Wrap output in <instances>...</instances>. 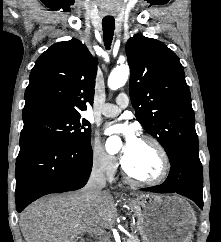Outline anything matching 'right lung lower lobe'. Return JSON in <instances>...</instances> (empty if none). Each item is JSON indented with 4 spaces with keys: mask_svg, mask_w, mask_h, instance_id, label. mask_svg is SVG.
I'll list each match as a JSON object with an SVG mask.
<instances>
[{
    "mask_svg": "<svg viewBox=\"0 0 221 242\" xmlns=\"http://www.w3.org/2000/svg\"><path fill=\"white\" fill-rule=\"evenodd\" d=\"M92 170L90 143H68L49 135L20 137L16 160V209L50 193L82 188Z\"/></svg>",
    "mask_w": 221,
    "mask_h": 242,
    "instance_id": "1",
    "label": "right lung lower lobe"
}]
</instances>
